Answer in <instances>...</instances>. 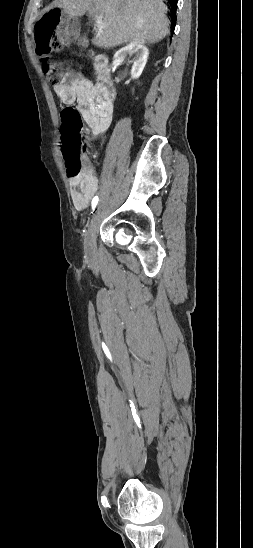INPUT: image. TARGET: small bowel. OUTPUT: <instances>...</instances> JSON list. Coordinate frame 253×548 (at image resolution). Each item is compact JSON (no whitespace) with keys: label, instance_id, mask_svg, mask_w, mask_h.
<instances>
[{"label":"small bowel","instance_id":"c3829d8e","mask_svg":"<svg viewBox=\"0 0 253 548\" xmlns=\"http://www.w3.org/2000/svg\"><path fill=\"white\" fill-rule=\"evenodd\" d=\"M60 102L66 106L76 104L83 116L90 138L103 133L112 120L113 102L81 73L67 72L62 81L54 87ZM70 193L76 210H86L92 197L98 192L99 179L91 161L85 157L80 174L69 176Z\"/></svg>","mask_w":253,"mask_h":548}]
</instances>
